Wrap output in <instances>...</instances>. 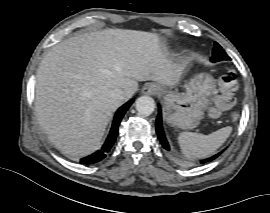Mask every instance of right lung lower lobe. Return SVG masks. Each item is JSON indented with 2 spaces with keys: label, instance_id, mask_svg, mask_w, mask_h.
Returning a JSON list of instances; mask_svg holds the SVG:
<instances>
[{
  "label": "right lung lower lobe",
  "instance_id": "obj_1",
  "mask_svg": "<svg viewBox=\"0 0 270 213\" xmlns=\"http://www.w3.org/2000/svg\"><path fill=\"white\" fill-rule=\"evenodd\" d=\"M132 103H133V100H130L118 109V111L114 117L110 133H109L105 143L103 144L102 148L100 150L96 151L95 153H93L85 158H82L81 159L82 164H93V163H96V162L102 160L103 158H105L106 153L110 151L111 147L113 146V144L116 140V136L118 133V126L120 124V121L122 120L125 112L128 110V108L130 107V105Z\"/></svg>",
  "mask_w": 270,
  "mask_h": 213
}]
</instances>
